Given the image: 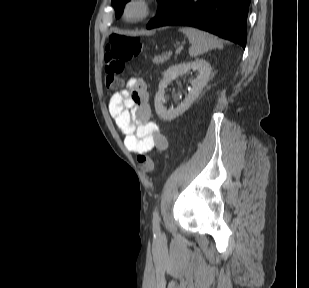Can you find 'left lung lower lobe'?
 Instances as JSON below:
<instances>
[{
	"mask_svg": "<svg viewBox=\"0 0 309 288\" xmlns=\"http://www.w3.org/2000/svg\"><path fill=\"white\" fill-rule=\"evenodd\" d=\"M250 0H173L148 24L193 26L246 46V21Z\"/></svg>",
	"mask_w": 309,
	"mask_h": 288,
	"instance_id": "obj_1",
	"label": "left lung lower lobe"
}]
</instances>
